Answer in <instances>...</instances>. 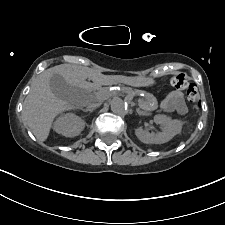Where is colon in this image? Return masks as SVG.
I'll list each match as a JSON object with an SVG mask.
<instances>
[{
    "mask_svg": "<svg viewBox=\"0 0 225 225\" xmlns=\"http://www.w3.org/2000/svg\"><path fill=\"white\" fill-rule=\"evenodd\" d=\"M171 85L178 90H186L188 99L193 110L201 107V98L196 85L191 83L184 74L174 75L170 79Z\"/></svg>",
    "mask_w": 225,
    "mask_h": 225,
    "instance_id": "colon-1",
    "label": "colon"
}]
</instances>
